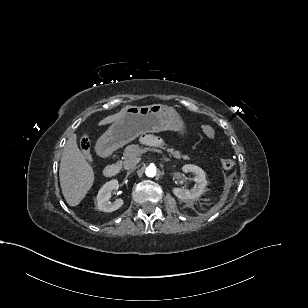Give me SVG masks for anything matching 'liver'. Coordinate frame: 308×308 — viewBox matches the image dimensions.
<instances>
[{"label":"liver","mask_w":308,"mask_h":308,"mask_svg":"<svg viewBox=\"0 0 308 308\" xmlns=\"http://www.w3.org/2000/svg\"><path fill=\"white\" fill-rule=\"evenodd\" d=\"M129 107L132 106H125L120 112L107 116L98 125L119 120ZM59 177L63 196L70 206L78 205L93 185L94 172L77 146L76 134L67 140L63 149Z\"/></svg>","instance_id":"obj_1"}]
</instances>
